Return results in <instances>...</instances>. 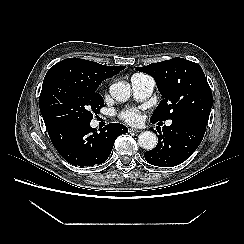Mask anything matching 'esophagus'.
I'll list each match as a JSON object with an SVG mask.
<instances>
[{
	"label": "esophagus",
	"mask_w": 244,
	"mask_h": 244,
	"mask_svg": "<svg viewBox=\"0 0 244 244\" xmlns=\"http://www.w3.org/2000/svg\"><path fill=\"white\" fill-rule=\"evenodd\" d=\"M129 132L137 133V132H140V130L136 129V128H129Z\"/></svg>",
	"instance_id": "obj_1"
}]
</instances>
